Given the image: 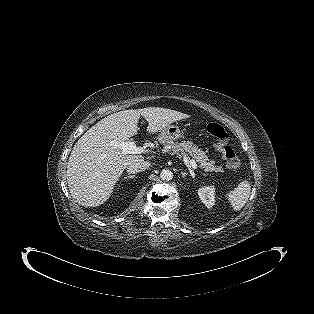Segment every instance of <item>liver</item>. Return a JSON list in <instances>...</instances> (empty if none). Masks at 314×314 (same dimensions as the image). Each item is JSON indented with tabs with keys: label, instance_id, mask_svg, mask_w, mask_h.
Listing matches in <instances>:
<instances>
[{
	"label": "liver",
	"instance_id": "1",
	"mask_svg": "<svg viewBox=\"0 0 314 314\" xmlns=\"http://www.w3.org/2000/svg\"><path fill=\"white\" fill-rule=\"evenodd\" d=\"M140 116L148 122L147 131L152 134L190 117L171 109L147 107L123 110L101 119L76 142L68 160L67 182L78 204L96 207L105 203L124 169L144 160L140 154H123L112 144L136 135Z\"/></svg>",
	"mask_w": 314,
	"mask_h": 314
}]
</instances>
